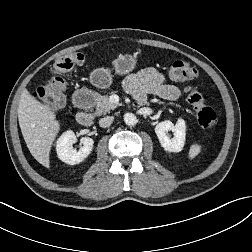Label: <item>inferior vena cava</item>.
Returning <instances> with one entry per match:
<instances>
[{"mask_svg": "<svg viewBox=\"0 0 252 252\" xmlns=\"http://www.w3.org/2000/svg\"><path fill=\"white\" fill-rule=\"evenodd\" d=\"M113 120H114L113 116H106L99 120V125L103 128L109 127L112 124Z\"/></svg>", "mask_w": 252, "mask_h": 252, "instance_id": "obj_1", "label": "inferior vena cava"}]
</instances>
